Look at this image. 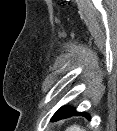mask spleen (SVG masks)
<instances>
[{
  "label": "spleen",
  "mask_w": 117,
  "mask_h": 131,
  "mask_svg": "<svg viewBox=\"0 0 117 131\" xmlns=\"http://www.w3.org/2000/svg\"><path fill=\"white\" fill-rule=\"evenodd\" d=\"M67 131H84V129H81L79 126H71Z\"/></svg>",
  "instance_id": "1"
}]
</instances>
